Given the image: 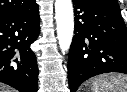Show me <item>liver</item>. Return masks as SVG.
<instances>
[{
	"mask_svg": "<svg viewBox=\"0 0 127 92\" xmlns=\"http://www.w3.org/2000/svg\"><path fill=\"white\" fill-rule=\"evenodd\" d=\"M0 92H15V91L10 87H8L7 85L0 83Z\"/></svg>",
	"mask_w": 127,
	"mask_h": 92,
	"instance_id": "6515ba94",
	"label": "liver"
}]
</instances>
